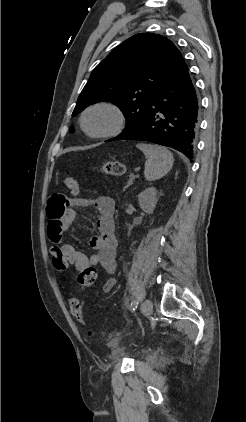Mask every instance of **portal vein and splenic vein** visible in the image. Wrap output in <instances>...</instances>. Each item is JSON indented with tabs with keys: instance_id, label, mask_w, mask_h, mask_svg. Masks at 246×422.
<instances>
[{
	"instance_id": "obj_1",
	"label": "portal vein and splenic vein",
	"mask_w": 246,
	"mask_h": 422,
	"mask_svg": "<svg viewBox=\"0 0 246 422\" xmlns=\"http://www.w3.org/2000/svg\"><path fill=\"white\" fill-rule=\"evenodd\" d=\"M132 179L134 180L135 179V176H132Z\"/></svg>"
}]
</instances>
